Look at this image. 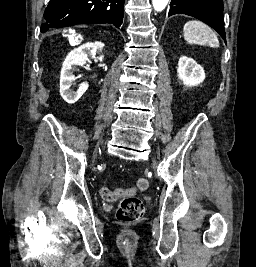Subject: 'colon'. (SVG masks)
<instances>
[{
  "mask_svg": "<svg viewBox=\"0 0 256 267\" xmlns=\"http://www.w3.org/2000/svg\"><path fill=\"white\" fill-rule=\"evenodd\" d=\"M150 187V182L145 178H139L135 182L134 188H102L100 195L105 198L102 200L110 201L116 200V197H123L117 195L135 196L137 192L147 191ZM124 200H119L117 209V218L122 222H134L143 216L145 206L143 202L137 197H123Z\"/></svg>",
  "mask_w": 256,
  "mask_h": 267,
  "instance_id": "colon-1",
  "label": "colon"
}]
</instances>
